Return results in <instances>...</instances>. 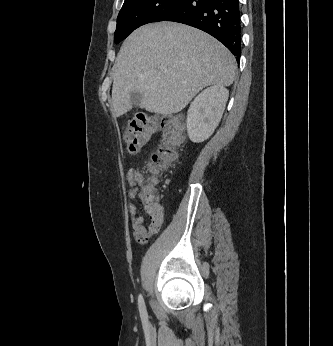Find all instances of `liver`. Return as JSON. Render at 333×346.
Segmentation results:
<instances>
[{"instance_id": "6515ba94", "label": "liver", "mask_w": 333, "mask_h": 346, "mask_svg": "<svg viewBox=\"0 0 333 346\" xmlns=\"http://www.w3.org/2000/svg\"><path fill=\"white\" fill-rule=\"evenodd\" d=\"M113 69L115 117L132 109V92L142 94L140 108L170 115L183 110L206 86H230L236 64L230 51L207 33L162 22L135 30L121 46Z\"/></svg>"}]
</instances>
